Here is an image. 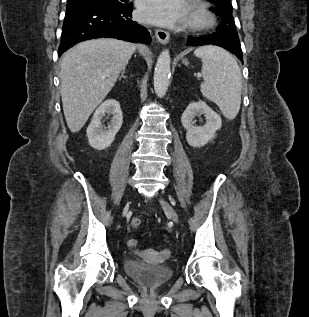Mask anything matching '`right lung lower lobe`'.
Masks as SVG:
<instances>
[{
	"label": "right lung lower lobe",
	"mask_w": 309,
	"mask_h": 317,
	"mask_svg": "<svg viewBox=\"0 0 309 317\" xmlns=\"http://www.w3.org/2000/svg\"><path fill=\"white\" fill-rule=\"evenodd\" d=\"M132 10V4L117 8L68 1L58 56L78 42L100 37L149 44L150 33L131 19Z\"/></svg>",
	"instance_id": "right-lung-lower-lobe-1"
}]
</instances>
